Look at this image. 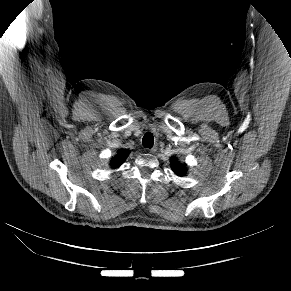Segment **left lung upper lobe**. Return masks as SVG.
Instances as JSON below:
<instances>
[{"label":"left lung upper lobe","mask_w":291,"mask_h":291,"mask_svg":"<svg viewBox=\"0 0 291 291\" xmlns=\"http://www.w3.org/2000/svg\"><path fill=\"white\" fill-rule=\"evenodd\" d=\"M171 167L173 169V172L178 176H184L187 173L186 164H181L177 158L172 157L171 160Z\"/></svg>","instance_id":"1"}]
</instances>
